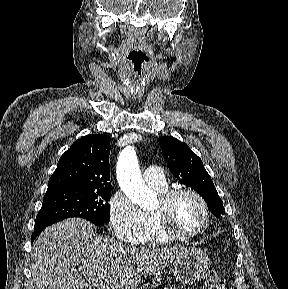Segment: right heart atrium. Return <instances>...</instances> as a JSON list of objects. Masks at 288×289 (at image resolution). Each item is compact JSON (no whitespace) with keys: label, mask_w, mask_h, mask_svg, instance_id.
Returning <instances> with one entry per match:
<instances>
[{"label":"right heart atrium","mask_w":288,"mask_h":289,"mask_svg":"<svg viewBox=\"0 0 288 289\" xmlns=\"http://www.w3.org/2000/svg\"><path fill=\"white\" fill-rule=\"evenodd\" d=\"M109 222L114 236L128 244L142 243L149 229L145 213L122 192L109 201Z\"/></svg>","instance_id":"1"}]
</instances>
